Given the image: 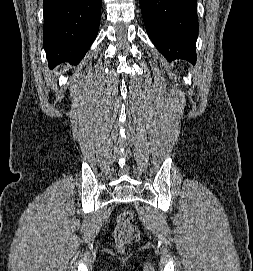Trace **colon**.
Returning a JSON list of instances; mask_svg holds the SVG:
<instances>
[{
  "mask_svg": "<svg viewBox=\"0 0 253 271\" xmlns=\"http://www.w3.org/2000/svg\"><path fill=\"white\" fill-rule=\"evenodd\" d=\"M140 231L134 224V215L131 211H122L116 222L114 238L119 246H125L138 241Z\"/></svg>",
  "mask_w": 253,
  "mask_h": 271,
  "instance_id": "colon-1",
  "label": "colon"
}]
</instances>
